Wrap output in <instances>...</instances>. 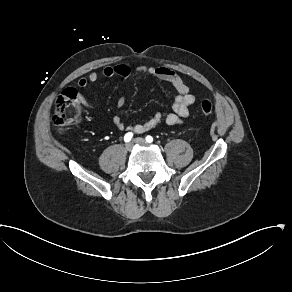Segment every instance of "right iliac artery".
Here are the masks:
<instances>
[{"mask_svg":"<svg viewBox=\"0 0 292 292\" xmlns=\"http://www.w3.org/2000/svg\"><path fill=\"white\" fill-rule=\"evenodd\" d=\"M132 137H133V133L132 132H128L124 136V141L125 142H129V141H131Z\"/></svg>","mask_w":292,"mask_h":292,"instance_id":"82829eb1","label":"right iliac artery"}]
</instances>
